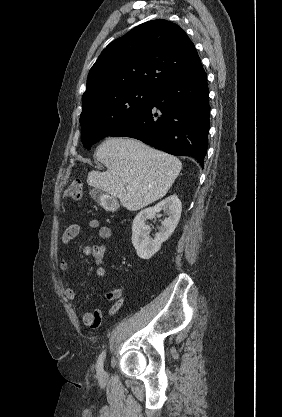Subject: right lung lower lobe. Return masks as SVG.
Returning <instances> with one entry per match:
<instances>
[{
    "label": "right lung lower lobe",
    "instance_id": "obj_1",
    "mask_svg": "<svg viewBox=\"0 0 282 417\" xmlns=\"http://www.w3.org/2000/svg\"><path fill=\"white\" fill-rule=\"evenodd\" d=\"M207 76L200 65L161 86L150 102L110 136L131 137L176 156H192L204 166L208 148Z\"/></svg>",
    "mask_w": 282,
    "mask_h": 417
}]
</instances>
